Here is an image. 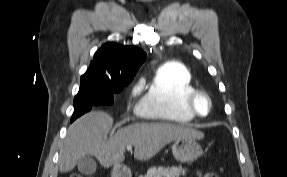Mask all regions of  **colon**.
Instances as JSON below:
<instances>
[{"instance_id": "colon-1", "label": "colon", "mask_w": 287, "mask_h": 177, "mask_svg": "<svg viewBox=\"0 0 287 177\" xmlns=\"http://www.w3.org/2000/svg\"><path fill=\"white\" fill-rule=\"evenodd\" d=\"M70 177H82L78 174H73ZM198 177H219V174L216 171L213 170H205L198 174Z\"/></svg>"}]
</instances>
